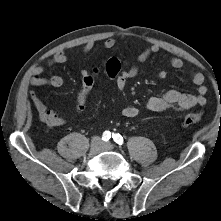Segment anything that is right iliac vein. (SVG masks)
I'll return each instance as SVG.
<instances>
[{"label":"right iliac vein","instance_id":"obj_1","mask_svg":"<svg viewBox=\"0 0 221 221\" xmlns=\"http://www.w3.org/2000/svg\"><path fill=\"white\" fill-rule=\"evenodd\" d=\"M100 150H101L100 141L97 139L93 140L90 146V153L97 154Z\"/></svg>","mask_w":221,"mask_h":221}]
</instances>
